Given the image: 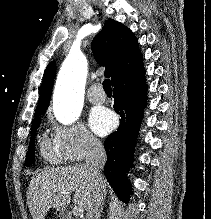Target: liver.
<instances>
[{"label": "liver", "instance_id": "6515ba94", "mask_svg": "<svg viewBox=\"0 0 211 219\" xmlns=\"http://www.w3.org/2000/svg\"><path fill=\"white\" fill-rule=\"evenodd\" d=\"M108 183L104 181V190ZM75 191L74 204L82 211L93 200L94 182L83 164L44 170L34 176L29 184L27 204L33 219H45L50 208L64 210L70 203V194Z\"/></svg>", "mask_w": 211, "mask_h": 219}]
</instances>
